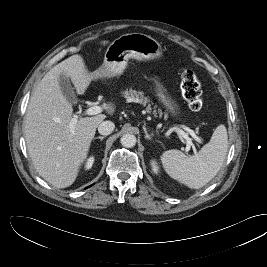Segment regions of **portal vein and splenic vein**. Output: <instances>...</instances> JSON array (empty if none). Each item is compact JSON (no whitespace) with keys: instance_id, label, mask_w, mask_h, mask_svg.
<instances>
[{"instance_id":"1","label":"portal vein and splenic vein","mask_w":267,"mask_h":267,"mask_svg":"<svg viewBox=\"0 0 267 267\" xmlns=\"http://www.w3.org/2000/svg\"><path fill=\"white\" fill-rule=\"evenodd\" d=\"M102 112V107L100 106H91L88 109H86L85 111V115H96ZM78 120V116H74V118H72L70 126L73 127ZM184 130L197 142L202 143V140L195 134V132L193 130H191L188 127H184ZM185 139H186V144H187V148L186 151H188L190 149V147L194 146L191 138H189L188 136L184 135ZM196 152V151H195Z\"/></svg>"}]
</instances>
